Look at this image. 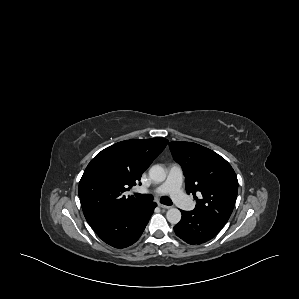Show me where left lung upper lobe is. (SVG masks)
Wrapping results in <instances>:
<instances>
[{"mask_svg":"<svg viewBox=\"0 0 299 299\" xmlns=\"http://www.w3.org/2000/svg\"><path fill=\"white\" fill-rule=\"evenodd\" d=\"M169 147L182 166L186 192L201 194L194 209L223 227L235 205L238 180L231 165L219 154L192 142L173 141Z\"/></svg>","mask_w":299,"mask_h":299,"instance_id":"obj_1","label":"left lung upper lobe"}]
</instances>
